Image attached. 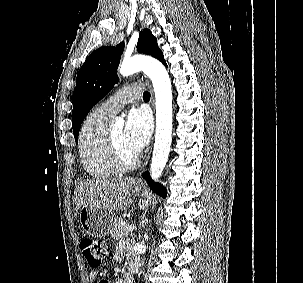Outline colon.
<instances>
[{
  "label": "colon",
  "instance_id": "1",
  "mask_svg": "<svg viewBox=\"0 0 303 283\" xmlns=\"http://www.w3.org/2000/svg\"><path fill=\"white\" fill-rule=\"evenodd\" d=\"M80 250L89 266L94 268L99 267L109 253V248L105 241L92 238L82 239L80 241ZM100 283H108V281L103 280Z\"/></svg>",
  "mask_w": 303,
  "mask_h": 283
}]
</instances>
